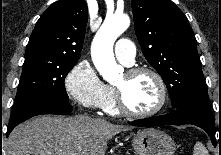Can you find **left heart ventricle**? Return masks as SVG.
Returning a JSON list of instances; mask_svg holds the SVG:
<instances>
[{
  "instance_id": "b2bd125f",
  "label": "left heart ventricle",
  "mask_w": 221,
  "mask_h": 155,
  "mask_svg": "<svg viewBox=\"0 0 221 155\" xmlns=\"http://www.w3.org/2000/svg\"><path fill=\"white\" fill-rule=\"evenodd\" d=\"M125 98L130 109L136 112H147L154 109L160 99L156 80L149 74L128 77L125 73L115 83Z\"/></svg>"
}]
</instances>
